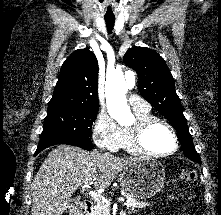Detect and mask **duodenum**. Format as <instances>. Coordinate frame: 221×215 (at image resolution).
I'll return each instance as SVG.
<instances>
[{
	"label": "duodenum",
	"mask_w": 221,
	"mask_h": 215,
	"mask_svg": "<svg viewBox=\"0 0 221 215\" xmlns=\"http://www.w3.org/2000/svg\"><path fill=\"white\" fill-rule=\"evenodd\" d=\"M94 208V204L91 201H86L82 208L77 211L74 215H91V212ZM120 215H126V213H121Z\"/></svg>",
	"instance_id": "obj_1"
}]
</instances>
